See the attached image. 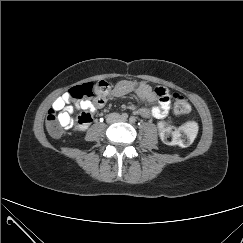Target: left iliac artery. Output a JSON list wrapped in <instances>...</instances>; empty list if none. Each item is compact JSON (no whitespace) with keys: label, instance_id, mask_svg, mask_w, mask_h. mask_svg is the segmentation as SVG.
I'll use <instances>...</instances> for the list:
<instances>
[{"label":"left iliac artery","instance_id":"obj_1","mask_svg":"<svg viewBox=\"0 0 243 243\" xmlns=\"http://www.w3.org/2000/svg\"><path fill=\"white\" fill-rule=\"evenodd\" d=\"M129 121H130V123H135L136 119H135V117H130Z\"/></svg>","mask_w":243,"mask_h":243}]
</instances>
